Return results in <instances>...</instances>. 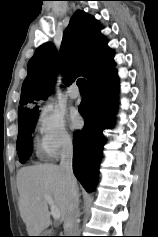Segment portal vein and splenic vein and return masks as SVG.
<instances>
[{"label":"portal vein and splenic vein","mask_w":158,"mask_h":237,"mask_svg":"<svg viewBox=\"0 0 158 237\" xmlns=\"http://www.w3.org/2000/svg\"><path fill=\"white\" fill-rule=\"evenodd\" d=\"M44 199L47 201V203L50 205L51 208V214L55 220H58L60 218V211L59 209L54 205L53 199L49 195H45Z\"/></svg>","instance_id":"obj_1"}]
</instances>
